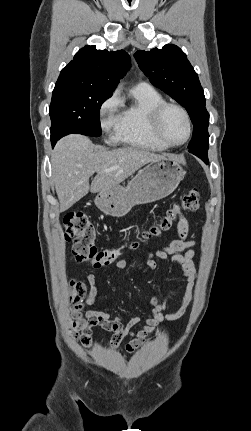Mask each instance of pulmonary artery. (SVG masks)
<instances>
[{
    "mask_svg": "<svg viewBox=\"0 0 251 431\" xmlns=\"http://www.w3.org/2000/svg\"><path fill=\"white\" fill-rule=\"evenodd\" d=\"M136 87L145 88V87H151V86L146 82H138Z\"/></svg>",
    "mask_w": 251,
    "mask_h": 431,
    "instance_id": "pulmonary-artery-1",
    "label": "pulmonary artery"
}]
</instances>
